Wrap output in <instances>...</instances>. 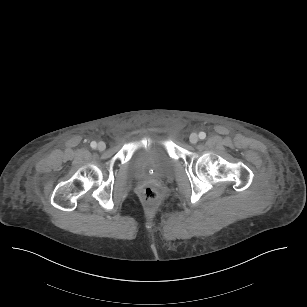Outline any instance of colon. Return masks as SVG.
<instances>
[{
    "label": "colon",
    "mask_w": 307,
    "mask_h": 307,
    "mask_svg": "<svg viewBox=\"0 0 307 307\" xmlns=\"http://www.w3.org/2000/svg\"><path fill=\"white\" fill-rule=\"evenodd\" d=\"M141 199L145 203H153L157 199V192L153 188H145L141 192Z\"/></svg>",
    "instance_id": "obj_1"
}]
</instances>
